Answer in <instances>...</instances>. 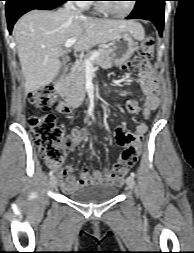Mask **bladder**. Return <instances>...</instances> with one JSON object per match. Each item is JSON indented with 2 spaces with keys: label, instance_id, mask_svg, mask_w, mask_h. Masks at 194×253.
Listing matches in <instances>:
<instances>
[{
  "label": "bladder",
  "instance_id": "bladder-1",
  "mask_svg": "<svg viewBox=\"0 0 194 253\" xmlns=\"http://www.w3.org/2000/svg\"><path fill=\"white\" fill-rule=\"evenodd\" d=\"M118 193L117 187L110 184H94L79 188L69 194V199L82 205H97L111 201Z\"/></svg>",
  "mask_w": 194,
  "mask_h": 253
}]
</instances>
